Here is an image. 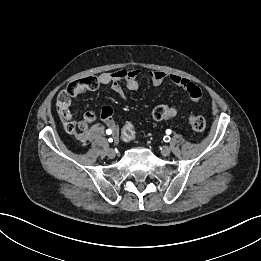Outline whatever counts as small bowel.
I'll use <instances>...</instances> for the list:
<instances>
[{"mask_svg": "<svg viewBox=\"0 0 261 261\" xmlns=\"http://www.w3.org/2000/svg\"><path fill=\"white\" fill-rule=\"evenodd\" d=\"M139 74L140 70L138 69H121L114 72H105L97 77H93V87L86 90H95L100 86L110 85L116 93L121 95L123 93L121 83H124L129 90L135 91L139 88V83L137 80ZM149 76L154 85H160L164 81H170L173 84L183 88L193 103L198 102L200 99L201 91L199 87L186 78L175 74L164 73L162 71H152ZM90 114L91 113H88L84 118V121L87 122L86 127L81 132L75 133L77 140L82 143H86L99 138L108 129L114 133L116 132L117 124L114 120L113 111L111 108L104 107L101 110L103 124L88 126V124L94 120Z\"/></svg>", "mask_w": 261, "mask_h": 261, "instance_id": "c3829d8e", "label": "small bowel"}]
</instances>
